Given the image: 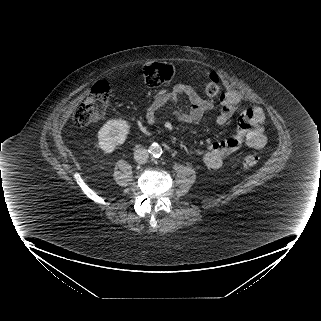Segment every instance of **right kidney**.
I'll return each instance as SVG.
<instances>
[{
  "label": "right kidney",
  "instance_id": "obj_1",
  "mask_svg": "<svg viewBox=\"0 0 321 321\" xmlns=\"http://www.w3.org/2000/svg\"><path fill=\"white\" fill-rule=\"evenodd\" d=\"M129 129L130 125L125 120L107 121L98 132V147L104 153H112L116 146L125 142Z\"/></svg>",
  "mask_w": 321,
  "mask_h": 321
}]
</instances>
